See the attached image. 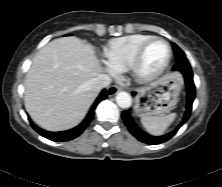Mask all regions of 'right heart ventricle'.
Instances as JSON below:
<instances>
[{
    "mask_svg": "<svg viewBox=\"0 0 222 187\" xmlns=\"http://www.w3.org/2000/svg\"><path fill=\"white\" fill-rule=\"evenodd\" d=\"M152 37L133 34L110 40L103 50L107 63L115 70L127 71L138 49Z\"/></svg>",
    "mask_w": 222,
    "mask_h": 187,
    "instance_id": "right-heart-ventricle-1",
    "label": "right heart ventricle"
}]
</instances>
